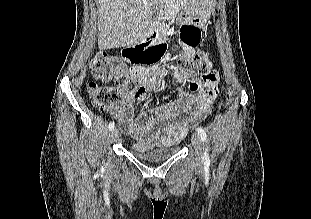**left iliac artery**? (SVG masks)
I'll return each mask as SVG.
<instances>
[{"instance_id": "1", "label": "left iliac artery", "mask_w": 311, "mask_h": 219, "mask_svg": "<svg viewBox=\"0 0 311 219\" xmlns=\"http://www.w3.org/2000/svg\"><path fill=\"white\" fill-rule=\"evenodd\" d=\"M200 137H201V140L203 141V143L206 145L207 143V135H206V132L205 130L202 128V127H198L197 129ZM203 160L205 163L209 164L210 163V158H209V154H208V149L205 147V151H204V157H203Z\"/></svg>"}]
</instances>
